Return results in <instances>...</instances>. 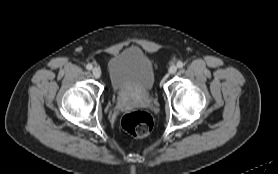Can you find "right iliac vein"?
<instances>
[{
	"label": "right iliac vein",
	"mask_w": 278,
	"mask_h": 174,
	"mask_svg": "<svg viewBox=\"0 0 278 174\" xmlns=\"http://www.w3.org/2000/svg\"><path fill=\"white\" fill-rule=\"evenodd\" d=\"M92 74L95 78H100L101 77V70L99 68H94L92 70Z\"/></svg>",
	"instance_id": "right-iliac-vein-1"
}]
</instances>
